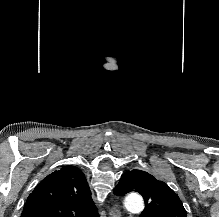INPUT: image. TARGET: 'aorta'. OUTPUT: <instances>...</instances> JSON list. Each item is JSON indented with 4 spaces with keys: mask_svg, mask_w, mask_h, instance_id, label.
Returning a JSON list of instances; mask_svg holds the SVG:
<instances>
[{
    "mask_svg": "<svg viewBox=\"0 0 219 217\" xmlns=\"http://www.w3.org/2000/svg\"><path fill=\"white\" fill-rule=\"evenodd\" d=\"M124 205L131 212H140L144 209L143 198L137 194L127 196Z\"/></svg>",
    "mask_w": 219,
    "mask_h": 217,
    "instance_id": "762f6f07",
    "label": "aorta"
}]
</instances>
